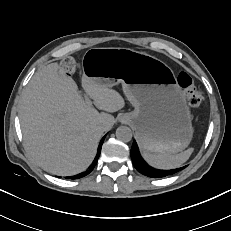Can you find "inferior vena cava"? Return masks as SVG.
<instances>
[{
    "label": "inferior vena cava",
    "mask_w": 231,
    "mask_h": 231,
    "mask_svg": "<svg viewBox=\"0 0 231 231\" xmlns=\"http://www.w3.org/2000/svg\"><path fill=\"white\" fill-rule=\"evenodd\" d=\"M99 127H100V130H105V125L101 124Z\"/></svg>",
    "instance_id": "inferior-vena-cava-1"
}]
</instances>
